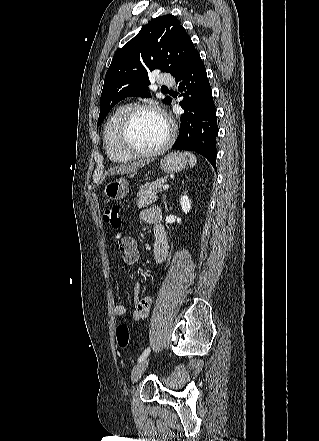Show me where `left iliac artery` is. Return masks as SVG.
I'll return each mask as SVG.
<instances>
[{
  "mask_svg": "<svg viewBox=\"0 0 319 441\" xmlns=\"http://www.w3.org/2000/svg\"><path fill=\"white\" fill-rule=\"evenodd\" d=\"M150 353V347H148L139 357L138 362L143 361L144 359H146V357L149 355Z\"/></svg>",
  "mask_w": 319,
  "mask_h": 441,
  "instance_id": "left-iliac-artery-1",
  "label": "left iliac artery"
}]
</instances>
